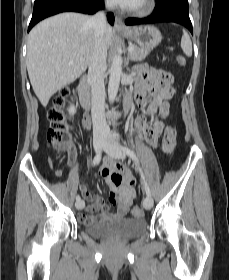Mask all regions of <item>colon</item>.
<instances>
[{"label": "colon", "instance_id": "5ec220e1", "mask_svg": "<svg viewBox=\"0 0 229 280\" xmlns=\"http://www.w3.org/2000/svg\"><path fill=\"white\" fill-rule=\"evenodd\" d=\"M177 64L183 66L186 59L183 55L176 56ZM156 79L165 86H171L174 82V77L171 72L157 69L155 70ZM74 96V91L70 88H63L60 93L53 98V105L48 112V119L50 122L47 130L46 138L49 145L58 152H64L70 149L69 141V124L66 117V109ZM177 145V131L175 126L168 125L165 129L162 139V149L166 154H172ZM124 177L118 173L112 175V182L115 185H120ZM116 195L111 193L109 196L110 203H114ZM133 214L136 217H142L144 211L140 206L133 209Z\"/></svg>", "mask_w": 229, "mask_h": 280}]
</instances>
